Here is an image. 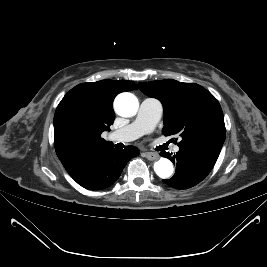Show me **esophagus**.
I'll use <instances>...</instances> for the list:
<instances>
[{
	"label": "esophagus",
	"instance_id": "34e87169",
	"mask_svg": "<svg viewBox=\"0 0 267 267\" xmlns=\"http://www.w3.org/2000/svg\"><path fill=\"white\" fill-rule=\"evenodd\" d=\"M145 157L149 160H157L159 158V155L152 152H146L144 153Z\"/></svg>",
	"mask_w": 267,
	"mask_h": 267
}]
</instances>
